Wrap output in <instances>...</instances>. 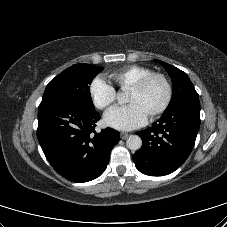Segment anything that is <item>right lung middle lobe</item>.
<instances>
[{
  "mask_svg": "<svg viewBox=\"0 0 227 227\" xmlns=\"http://www.w3.org/2000/svg\"><path fill=\"white\" fill-rule=\"evenodd\" d=\"M102 70V67L85 63L75 64L65 69L48 83L42 102L66 98L83 107L94 109L89 85Z\"/></svg>",
  "mask_w": 227,
  "mask_h": 227,
  "instance_id": "dd1d6c3e",
  "label": "right lung middle lobe"
}]
</instances>
